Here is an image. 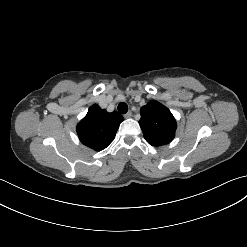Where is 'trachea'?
I'll list each match as a JSON object with an SVG mask.
<instances>
[{
	"mask_svg": "<svg viewBox=\"0 0 247 247\" xmlns=\"http://www.w3.org/2000/svg\"><path fill=\"white\" fill-rule=\"evenodd\" d=\"M118 111L121 113V114H125L127 113L128 111V105L124 102L120 103L117 107Z\"/></svg>",
	"mask_w": 247,
	"mask_h": 247,
	"instance_id": "3493384b",
	"label": "trachea"
}]
</instances>
